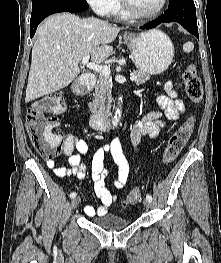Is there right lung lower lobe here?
Segmentation results:
<instances>
[{"label": "right lung lower lobe", "instance_id": "right-lung-lower-lobe-1", "mask_svg": "<svg viewBox=\"0 0 221 263\" xmlns=\"http://www.w3.org/2000/svg\"><path fill=\"white\" fill-rule=\"evenodd\" d=\"M89 8L86 0L55 1L32 10L30 20L31 38L34 36L38 24L47 16L58 12H81Z\"/></svg>", "mask_w": 221, "mask_h": 263}]
</instances>
